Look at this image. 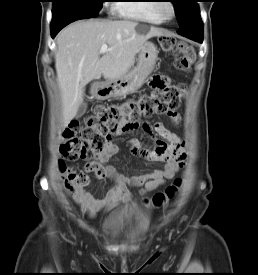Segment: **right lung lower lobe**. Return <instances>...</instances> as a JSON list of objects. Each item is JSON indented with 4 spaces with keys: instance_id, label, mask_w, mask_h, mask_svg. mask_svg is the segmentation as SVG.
<instances>
[{
    "instance_id": "98d812e1",
    "label": "right lung lower lobe",
    "mask_w": 258,
    "mask_h": 275,
    "mask_svg": "<svg viewBox=\"0 0 258 275\" xmlns=\"http://www.w3.org/2000/svg\"><path fill=\"white\" fill-rule=\"evenodd\" d=\"M85 18H88V17L81 16V15H63V16H58V17H52V22H51V36H52V38H54L55 35L69 23L79 20V19H85Z\"/></svg>"
}]
</instances>
